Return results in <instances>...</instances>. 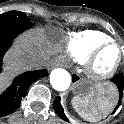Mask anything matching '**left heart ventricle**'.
<instances>
[{"label":"left heart ventricle","mask_w":124,"mask_h":124,"mask_svg":"<svg viewBox=\"0 0 124 124\" xmlns=\"http://www.w3.org/2000/svg\"><path fill=\"white\" fill-rule=\"evenodd\" d=\"M119 53L117 48H107L98 58L95 68L98 72L104 73L109 71L117 62Z\"/></svg>","instance_id":"b2bd125f"}]
</instances>
